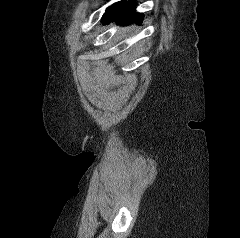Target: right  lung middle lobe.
<instances>
[{"label": "right lung middle lobe", "instance_id": "right-lung-middle-lobe-1", "mask_svg": "<svg viewBox=\"0 0 240 238\" xmlns=\"http://www.w3.org/2000/svg\"><path fill=\"white\" fill-rule=\"evenodd\" d=\"M125 2H126V0H122L117 3H114L109 8H107L106 13L103 15V19L108 17L109 15L115 13L116 11H118Z\"/></svg>", "mask_w": 240, "mask_h": 238}]
</instances>
